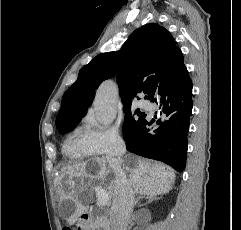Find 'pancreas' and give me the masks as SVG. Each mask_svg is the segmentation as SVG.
Returning <instances> with one entry per match:
<instances>
[{"label": "pancreas", "mask_w": 241, "mask_h": 230, "mask_svg": "<svg viewBox=\"0 0 241 230\" xmlns=\"http://www.w3.org/2000/svg\"><path fill=\"white\" fill-rule=\"evenodd\" d=\"M90 227L91 230H109V222L104 216H96Z\"/></svg>", "instance_id": "obj_1"}]
</instances>
